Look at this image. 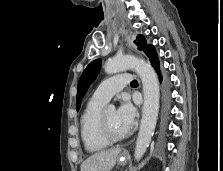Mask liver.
<instances>
[{"mask_svg":"<svg viewBox=\"0 0 223 171\" xmlns=\"http://www.w3.org/2000/svg\"><path fill=\"white\" fill-rule=\"evenodd\" d=\"M121 148H111L94 153L81 164L80 171H110L116 164Z\"/></svg>","mask_w":223,"mask_h":171,"instance_id":"1","label":"liver"}]
</instances>
